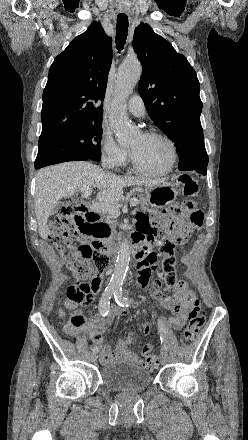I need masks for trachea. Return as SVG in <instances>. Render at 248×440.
<instances>
[{
  "mask_svg": "<svg viewBox=\"0 0 248 440\" xmlns=\"http://www.w3.org/2000/svg\"><path fill=\"white\" fill-rule=\"evenodd\" d=\"M128 17L126 14H119L116 26V48L121 51L125 45L128 33Z\"/></svg>",
  "mask_w": 248,
  "mask_h": 440,
  "instance_id": "3493384b",
  "label": "trachea"
}]
</instances>
